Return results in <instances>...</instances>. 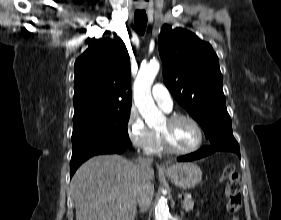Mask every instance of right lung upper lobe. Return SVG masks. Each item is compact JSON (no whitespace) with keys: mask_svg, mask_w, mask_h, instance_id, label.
<instances>
[{"mask_svg":"<svg viewBox=\"0 0 281 220\" xmlns=\"http://www.w3.org/2000/svg\"><path fill=\"white\" fill-rule=\"evenodd\" d=\"M74 66L73 119L131 108L130 59L120 38L93 42Z\"/></svg>","mask_w":281,"mask_h":220,"instance_id":"obj_1","label":"right lung upper lobe"}]
</instances>
